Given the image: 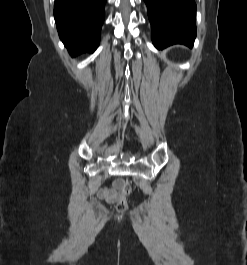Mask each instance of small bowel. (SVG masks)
<instances>
[{"instance_id":"small-bowel-1","label":"small bowel","mask_w":247,"mask_h":265,"mask_svg":"<svg viewBox=\"0 0 247 265\" xmlns=\"http://www.w3.org/2000/svg\"><path fill=\"white\" fill-rule=\"evenodd\" d=\"M121 195V181H116L111 188H102L98 191L99 198L113 203L116 202Z\"/></svg>"}]
</instances>
